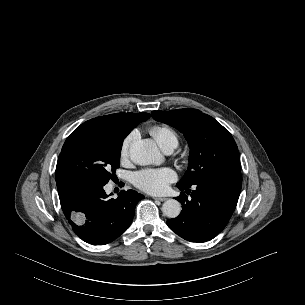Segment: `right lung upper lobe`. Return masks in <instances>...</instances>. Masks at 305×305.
<instances>
[{
  "instance_id": "obj_1",
  "label": "right lung upper lobe",
  "mask_w": 305,
  "mask_h": 305,
  "mask_svg": "<svg viewBox=\"0 0 305 305\" xmlns=\"http://www.w3.org/2000/svg\"><path fill=\"white\" fill-rule=\"evenodd\" d=\"M149 117V113H116L91 119L87 123L129 134L140 122L146 121Z\"/></svg>"
}]
</instances>
